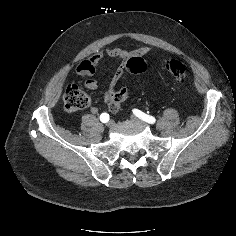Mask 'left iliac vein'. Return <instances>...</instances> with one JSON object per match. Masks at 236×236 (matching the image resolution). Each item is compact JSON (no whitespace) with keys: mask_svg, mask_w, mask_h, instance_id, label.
Wrapping results in <instances>:
<instances>
[{"mask_svg":"<svg viewBox=\"0 0 236 236\" xmlns=\"http://www.w3.org/2000/svg\"><path fill=\"white\" fill-rule=\"evenodd\" d=\"M131 118H132L133 121L142 123V121L139 118L135 117V116H132Z\"/></svg>","mask_w":236,"mask_h":236,"instance_id":"obj_1","label":"left iliac vein"}]
</instances>
